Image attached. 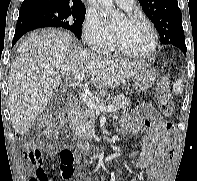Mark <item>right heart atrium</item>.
Masks as SVG:
<instances>
[{
    "label": "right heart atrium",
    "instance_id": "obj_1",
    "mask_svg": "<svg viewBox=\"0 0 197 181\" xmlns=\"http://www.w3.org/2000/svg\"><path fill=\"white\" fill-rule=\"evenodd\" d=\"M82 35L87 46L94 52L108 51L113 44V34L103 24L95 11H89L82 26Z\"/></svg>",
    "mask_w": 197,
    "mask_h": 181
}]
</instances>
